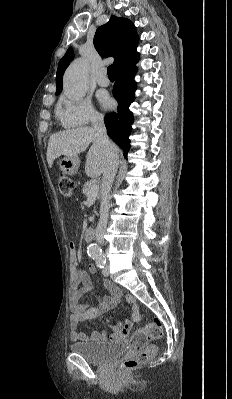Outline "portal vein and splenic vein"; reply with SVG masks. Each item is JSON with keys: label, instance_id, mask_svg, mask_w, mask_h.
<instances>
[{"label": "portal vein and splenic vein", "instance_id": "obj_1", "mask_svg": "<svg viewBox=\"0 0 232 399\" xmlns=\"http://www.w3.org/2000/svg\"><path fill=\"white\" fill-rule=\"evenodd\" d=\"M98 192H99V188H98L97 184H94L93 188H91V190L89 192L88 198H95V196H97Z\"/></svg>", "mask_w": 232, "mask_h": 399}]
</instances>
